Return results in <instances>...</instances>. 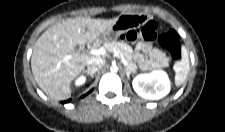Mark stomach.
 Wrapping results in <instances>:
<instances>
[{"instance_id":"obj_1","label":"stomach","mask_w":225,"mask_h":132,"mask_svg":"<svg viewBox=\"0 0 225 132\" xmlns=\"http://www.w3.org/2000/svg\"><path fill=\"white\" fill-rule=\"evenodd\" d=\"M116 25V24H115ZM123 32V30H121L120 28H116L115 26L107 29L106 31H104L98 40L100 41H114L116 40L119 35Z\"/></svg>"}]
</instances>
